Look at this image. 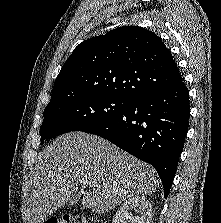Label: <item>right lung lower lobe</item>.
<instances>
[{
  "instance_id": "1",
  "label": "right lung lower lobe",
  "mask_w": 221,
  "mask_h": 223,
  "mask_svg": "<svg viewBox=\"0 0 221 223\" xmlns=\"http://www.w3.org/2000/svg\"><path fill=\"white\" fill-rule=\"evenodd\" d=\"M189 92L179 83L143 94L120 114L84 132L101 136L158 172L167 198L189 126Z\"/></svg>"
}]
</instances>
